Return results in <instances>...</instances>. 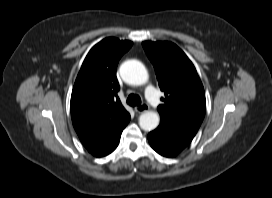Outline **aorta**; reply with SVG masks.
<instances>
[{
  "instance_id": "762f6f07",
  "label": "aorta",
  "mask_w": 272,
  "mask_h": 198,
  "mask_svg": "<svg viewBox=\"0 0 272 198\" xmlns=\"http://www.w3.org/2000/svg\"><path fill=\"white\" fill-rule=\"evenodd\" d=\"M120 74L123 80L132 85H143L148 81V72L145 66L137 60L125 61L120 67ZM159 115L154 111H147L141 114L139 125L145 131L154 130L159 124Z\"/></svg>"
}]
</instances>
